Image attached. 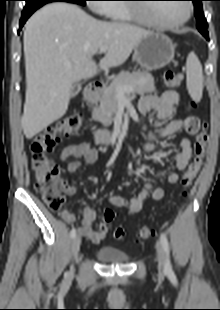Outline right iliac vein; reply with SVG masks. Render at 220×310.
<instances>
[{
	"instance_id": "1",
	"label": "right iliac vein",
	"mask_w": 220,
	"mask_h": 310,
	"mask_svg": "<svg viewBox=\"0 0 220 310\" xmlns=\"http://www.w3.org/2000/svg\"><path fill=\"white\" fill-rule=\"evenodd\" d=\"M80 245H81V237L80 235H76L72 241V254L74 259H77L80 250ZM73 275H74V266L71 267L68 276L72 277Z\"/></svg>"
}]
</instances>
